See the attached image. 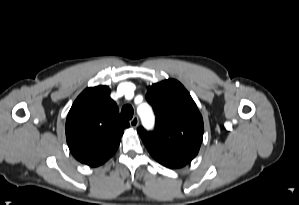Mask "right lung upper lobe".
<instances>
[{
  "label": "right lung upper lobe",
  "instance_id": "1",
  "mask_svg": "<svg viewBox=\"0 0 299 205\" xmlns=\"http://www.w3.org/2000/svg\"><path fill=\"white\" fill-rule=\"evenodd\" d=\"M110 89L99 85L85 89L73 103L66 120V139L73 156L97 167L118 149L124 128Z\"/></svg>",
  "mask_w": 299,
  "mask_h": 205
}]
</instances>
